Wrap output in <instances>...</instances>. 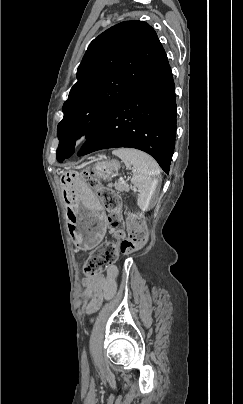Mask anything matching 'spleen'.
Masks as SVG:
<instances>
[{"instance_id":"spleen-1","label":"spleen","mask_w":243,"mask_h":404,"mask_svg":"<svg viewBox=\"0 0 243 404\" xmlns=\"http://www.w3.org/2000/svg\"><path fill=\"white\" fill-rule=\"evenodd\" d=\"M112 154L123 160L127 168L132 166L133 178L131 182L140 192L137 198V206L142 212H148L153 206L151 200L156 190L158 176H160V168L157 162L145 152L134 150V148H117V150H113Z\"/></svg>"}]
</instances>
